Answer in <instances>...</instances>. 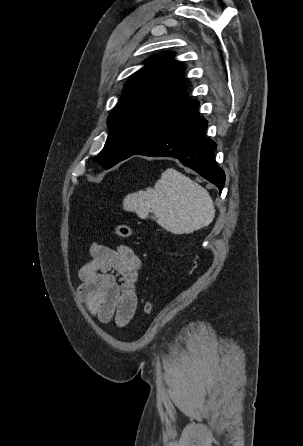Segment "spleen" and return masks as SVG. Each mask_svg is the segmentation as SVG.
<instances>
[{
	"mask_svg": "<svg viewBox=\"0 0 303 446\" xmlns=\"http://www.w3.org/2000/svg\"><path fill=\"white\" fill-rule=\"evenodd\" d=\"M123 208L142 219L152 212L159 226L176 235L208 226L215 216L208 191L173 168L162 173L154 188L128 194Z\"/></svg>",
	"mask_w": 303,
	"mask_h": 446,
	"instance_id": "obj_1",
	"label": "spleen"
}]
</instances>
